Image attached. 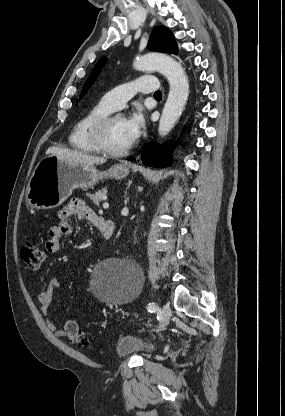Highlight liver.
Returning <instances> with one entry per match:
<instances>
[{"label": "liver", "instance_id": "1", "mask_svg": "<svg viewBox=\"0 0 285 416\" xmlns=\"http://www.w3.org/2000/svg\"><path fill=\"white\" fill-rule=\"evenodd\" d=\"M46 154L57 156L60 160L66 162H74V164H83V166H94V164H105L106 158H97L91 156L88 152H80V150H68V148H48Z\"/></svg>", "mask_w": 285, "mask_h": 416}]
</instances>
